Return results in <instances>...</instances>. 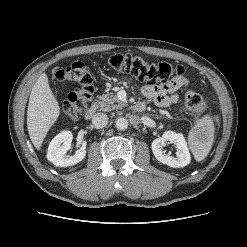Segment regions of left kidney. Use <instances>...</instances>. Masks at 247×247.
I'll use <instances>...</instances> for the list:
<instances>
[{"instance_id": "obj_1", "label": "left kidney", "mask_w": 247, "mask_h": 247, "mask_svg": "<svg viewBox=\"0 0 247 247\" xmlns=\"http://www.w3.org/2000/svg\"><path fill=\"white\" fill-rule=\"evenodd\" d=\"M174 143L177 149L176 157L167 154L163 147L168 143ZM152 152L156 159L163 164L173 168L185 167L190 163L191 157L184 136L174 131H166L164 134L153 140Z\"/></svg>"}]
</instances>
